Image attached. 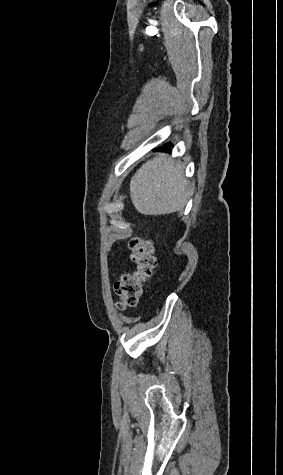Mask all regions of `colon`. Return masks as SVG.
Instances as JSON below:
<instances>
[{
	"instance_id": "colon-1",
	"label": "colon",
	"mask_w": 283,
	"mask_h": 475,
	"mask_svg": "<svg viewBox=\"0 0 283 475\" xmlns=\"http://www.w3.org/2000/svg\"><path fill=\"white\" fill-rule=\"evenodd\" d=\"M130 251V261L136 268L126 271L115 283V294L120 299L118 308L138 305L144 284L151 277L156 266L154 245L151 241L136 236L130 242Z\"/></svg>"
}]
</instances>
